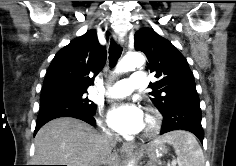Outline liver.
I'll return each instance as SVG.
<instances>
[{"mask_svg":"<svg viewBox=\"0 0 236 166\" xmlns=\"http://www.w3.org/2000/svg\"><path fill=\"white\" fill-rule=\"evenodd\" d=\"M35 165L118 166V155L109 153L104 139L92 126L64 117L45 124L35 137Z\"/></svg>","mask_w":236,"mask_h":166,"instance_id":"liver-1","label":"liver"}]
</instances>
